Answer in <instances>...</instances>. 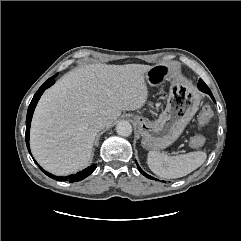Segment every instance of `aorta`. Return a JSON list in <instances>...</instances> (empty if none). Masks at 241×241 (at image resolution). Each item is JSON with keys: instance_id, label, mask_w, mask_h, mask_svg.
<instances>
[{"instance_id": "762f6f07", "label": "aorta", "mask_w": 241, "mask_h": 241, "mask_svg": "<svg viewBox=\"0 0 241 241\" xmlns=\"http://www.w3.org/2000/svg\"><path fill=\"white\" fill-rule=\"evenodd\" d=\"M116 132L120 136L128 137L132 133V126L126 120H121L116 125Z\"/></svg>"}]
</instances>
